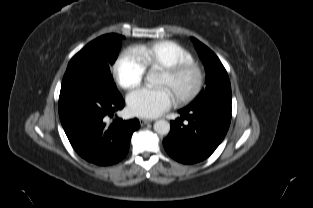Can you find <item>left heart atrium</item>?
Masks as SVG:
<instances>
[{
	"label": "left heart atrium",
	"mask_w": 313,
	"mask_h": 208,
	"mask_svg": "<svg viewBox=\"0 0 313 208\" xmlns=\"http://www.w3.org/2000/svg\"><path fill=\"white\" fill-rule=\"evenodd\" d=\"M127 103L133 114L153 118L171 107L173 95L167 87H141L128 95Z\"/></svg>",
	"instance_id": "39dd6f15"
}]
</instances>
